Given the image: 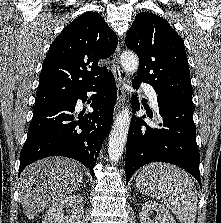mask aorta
Masks as SVG:
<instances>
[{
  "mask_svg": "<svg viewBox=\"0 0 221 223\" xmlns=\"http://www.w3.org/2000/svg\"><path fill=\"white\" fill-rule=\"evenodd\" d=\"M121 64L126 73H134L138 69L139 59L134 52L126 51L121 55ZM130 119L129 108L125 107L114 121L108 141V154L111 162L116 163L124 151Z\"/></svg>",
  "mask_w": 221,
  "mask_h": 223,
  "instance_id": "obj_1",
  "label": "aorta"
}]
</instances>
